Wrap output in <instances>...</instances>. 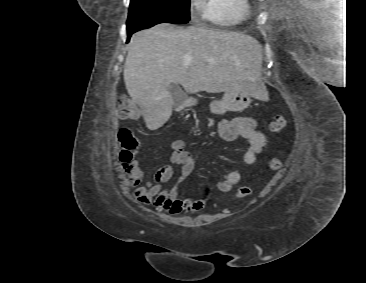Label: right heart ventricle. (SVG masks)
Instances as JSON below:
<instances>
[{
  "label": "right heart ventricle",
  "instance_id": "1",
  "mask_svg": "<svg viewBox=\"0 0 366 283\" xmlns=\"http://www.w3.org/2000/svg\"><path fill=\"white\" fill-rule=\"evenodd\" d=\"M203 16L220 27H235L251 13L249 0H203Z\"/></svg>",
  "mask_w": 366,
  "mask_h": 283
}]
</instances>
